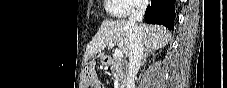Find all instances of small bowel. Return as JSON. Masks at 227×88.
Wrapping results in <instances>:
<instances>
[{
	"label": "small bowel",
	"instance_id": "1",
	"mask_svg": "<svg viewBox=\"0 0 227 88\" xmlns=\"http://www.w3.org/2000/svg\"><path fill=\"white\" fill-rule=\"evenodd\" d=\"M97 87H98V88H102V86H101V85H97Z\"/></svg>",
	"mask_w": 227,
	"mask_h": 88
}]
</instances>
